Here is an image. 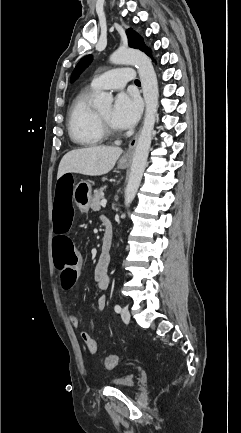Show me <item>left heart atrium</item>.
<instances>
[{
    "mask_svg": "<svg viewBox=\"0 0 241 433\" xmlns=\"http://www.w3.org/2000/svg\"><path fill=\"white\" fill-rule=\"evenodd\" d=\"M141 113V102L135 95L120 93L114 102L111 112V122L117 129L124 130L133 127Z\"/></svg>",
    "mask_w": 241,
    "mask_h": 433,
    "instance_id": "left-heart-atrium-1",
    "label": "left heart atrium"
}]
</instances>
